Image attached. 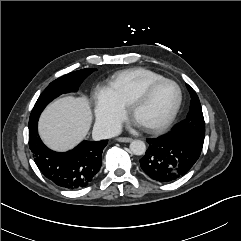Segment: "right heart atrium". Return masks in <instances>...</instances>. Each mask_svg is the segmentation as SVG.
<instances>
[{
	"mask_svg": "<svg viewBox=\"0 0 241 241\" xmlns=\"http://www.w3.org/2000/svg\"><path fill=\"white\" fill-rule=\"evenodd\" d=\"M95 118L99 129L105 134L115 132L126 115V107L110 86L95 90Z\"/></svg>",
	"mask_w": 241,
	"mask_h": 241,
	"instance_id": "right-heart-atrium-1",
	"label": "right heart atrium"
}]
</instances>
